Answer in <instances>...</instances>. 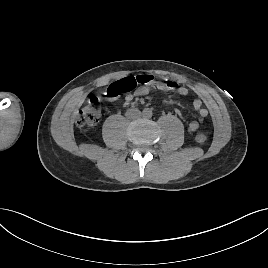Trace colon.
<instances>
[{"mask_svg": "<svg viewBox=\"0 0 268 268\" xmlns=\"http://www.w3.org/2000/svg\"><path fill=\"white\" fill-rule=\"evenodd\" d=\"M137 86L150 87L162 91H173L177 84L173 81H156L151 75L129 76L116 81L104 89L103 94L108 99H116L124 93L133 91ZM101 109L99 99L91 97L87 104L79 111L77 115V124L81 127L93 128L100 120ZM195 141L199 144L207 141L205 133H198Z\"/></svg>", "mask_w": 268, "mask_h": 268, "instance_id": "1", "label": "colon"}]
</instances>
